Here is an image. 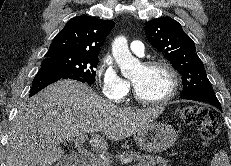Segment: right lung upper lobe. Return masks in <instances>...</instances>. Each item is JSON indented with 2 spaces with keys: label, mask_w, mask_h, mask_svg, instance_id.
Returning a JSON list of instances; mask_svg holds the SVG:
<instances>
[{
  "label": "right lung upper lobe",
  "mask_w": 231,
  "mask_h": 166,
  "mask_svg": "<svg viewBox=\"0 0 231 166\" xmlns=\"http://www.w3.org/2000/svg\"><path fill=\"white\" fill-rule=\"evenodd\" d=\"M115 22L88 16L70 19L55 36L47 53H71L98 56L105 37Z\"/></svg>",
  "instance_id": "right-lung-upper-lobe-1"
}]
</instances>
